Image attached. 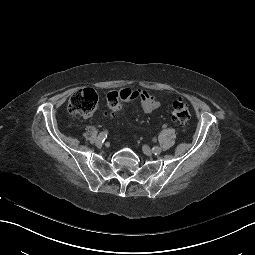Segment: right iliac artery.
<instances>
[{
	"mask_svg": "<svg viewBox=\"0 0 255 255\" xmlns=\"http://www.w3.org/2000/svg\"><path fill=\"white\" fill-rule=\"evenodd\" d=\"M98 138L100 140H102V142L107 138V132L104 131V132H101L99 135H98Z\"/></svg>",
	"mask_w": 255,
	"mask_h": 255,
	"instance_id": "82829eb1",
	"label": "right iliac artery"
}]
</instances>
